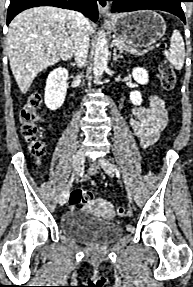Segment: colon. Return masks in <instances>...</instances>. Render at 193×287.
Returning <instances> with one entry per match:
<instances>
[{
  "label": "colon",
  "mask_w": 193,
  "mask_h": 287,
  "mask_svg": "<svg viewBox=\"0 0 193 287\" xmlns=\"http://www.w3.org/2000/svg\"><path fill=\"white\" fill-rule=\"evenodd\" d=\"M161 75V83L163 89L170 91L175 87L176 74L168 61H162L159 66ZM42 105L41 95L34 93L29 98L27 104L22 108L20 113L21 131L26 140L31 143V150L35 157L41 158L45 153L44 144L38 140L40 133L39 114L38 111ZM93 199L90 191H85L80 188L74 189L70 194V203L78 205L88 203ZM126 210L119 206L116 208V215L124 217Z\"/></svg>",
  "instance_id": "1"
}]
</instances>
